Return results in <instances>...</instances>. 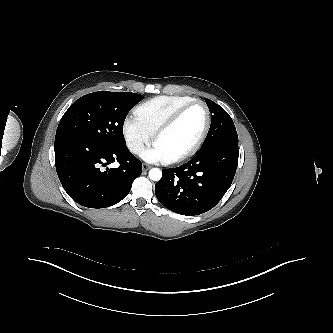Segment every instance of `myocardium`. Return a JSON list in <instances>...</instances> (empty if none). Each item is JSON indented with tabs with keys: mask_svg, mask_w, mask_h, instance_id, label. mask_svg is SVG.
Here are the masks:
<instances>
[{
	"mask_svg": "<svg viewBox=\"0 0 333 333\" xmlns=\"http://www.w3.org/2000/svg\"><path fill=\"white\" fill-rule=\"evenodd\" d=\"M196 104L202 105L205 109L206 121H205L204 128H203L199 138L197 139V141L194 143V145L190 149H188L187 151H185L179 155L167 158L166 162H168V163L175 164V163L183 162V161L191 158L192 156H194L199 151V149L201 148L202 144L204 143V141L208 135V132H209V129L211 126L210 109L203 100L194 99V100L184 104L180 108H178L175 112H173L154 132L153 141H154V144H156L157 140L167 130H169L189 108H191L192 106H194Z\"/></svg>",
	"mask_w": 333,
	"mask_h": 333,
	"instance_id": "f54148a6",
	"label": "myocardium"
}]
</instances>
